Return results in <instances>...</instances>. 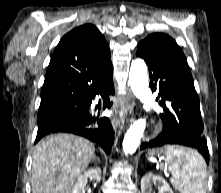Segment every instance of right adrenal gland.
<instances>
[{"instance_id": "1", "label": "right adrenal gland", "mask_w": 221, "mask_h": 193, "mask_svg": "<svg viewBox=\"0 0 221 193\" xmlns=\"http://www.w3.org/2000/svg\"><path fill=\"white\" fill-rule=\"evenodd\" d=\"M93 160L97 161V162H100V159L98 157H96V156L93 158Z\"/></svg>"}]
</instances>
